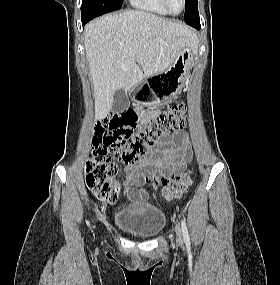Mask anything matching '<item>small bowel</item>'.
I'll return each instance as SVG.
<instances>
[{
	"instance_id": "1",
	"label": "small bowel",
	"mask_w": 280,
	"mask_h": 285,
	"mask_svg": "<svg viewBox=\"0 0 280 285\" xmlns=\"http://www.w3.org/2000/svg\"><path fill=\"white\" fill-rule=\"evenodd\" d=\"M152 114H145L143 121ZM191 158L192 152L185 133L176 132L172 137L164 135L162 140L150 149L149 154L140 157L134 163H126L128 196L135 201L147 200V190H136L133 186L146 184L155 188L164 184L182 172Z\"/></svg>"
}]
</instances>
